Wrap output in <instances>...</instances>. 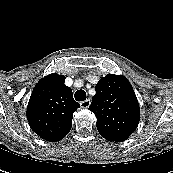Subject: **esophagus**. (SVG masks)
<instances>
[{"label":"esophagus","mask_w":173,"mask_h":173,"mask_svg":"<svg viewBox=\"0 0 173 173\" xmlns=\"http://www.w3.org/2000/svg\"><path fill=\"white\" fill-rule=\"evenodd\" d=\"M90 104H91L90 99H87V100L82 101V102L80 103L81 107H82V108H85V109H86V108H89Z\"/></svg>","instance_id":"esophagus-1"}]
</instances>
